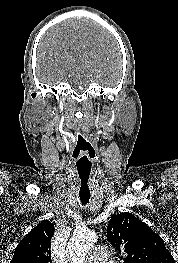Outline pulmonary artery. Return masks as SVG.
Listing matches in <instances>:
<instances>
[{
	"mask_svg": "<svg viewBox=\"0 0 178 263\" xmlns=\"http://www.w3.org/2000/svg\"><path fill=\"white\" fill-rule=\"evenodd\" d=\"M110 253L108 249L102 246L94 247L85 258V263H111L109 261Z\"/></svg>",
	"mask_w": 178,
	"mask_h": 263,
	"instance_id": "e3ab8cb5",
	"label": "pulmonary artery"
}]
</instances>
